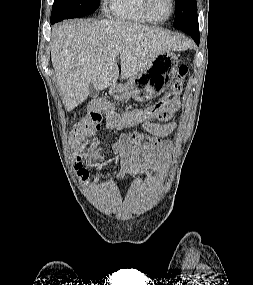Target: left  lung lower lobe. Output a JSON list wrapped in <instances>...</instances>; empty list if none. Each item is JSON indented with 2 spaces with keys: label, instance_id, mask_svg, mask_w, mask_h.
I'll list each match as a JSON object with an SVG mask.
<instances>
[{
  "label": "left lung lower lobe",
  "instance_id": "obj_1",
  "mask_svg": "<svg viewBox=\"0 0 253 285\" xmlns=\"http://www.w3.org/2000/svg\"><path fill=\"white\" fill-rule=\"evenodd\" d=\"M183 32L190 35L197 45H199V25L198 22L194 23L193 25L182 29Z\"/></svg>",
  "mask_w": 253,
  "mask_h": 285
}]
</instances>
